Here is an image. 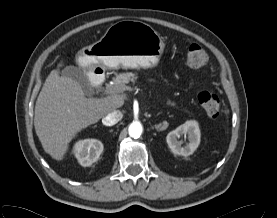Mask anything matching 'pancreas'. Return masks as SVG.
I'll use <instances>...</instances> for the list:
<instances>
[{
	"label": "pancreas",
	"instance_id": "pancreas-1",
	"mask_svg": "<svg viewBox=\"0 0 277 218\" xmlns=\"http://www.w3.org/2000/svg\"><path fill=\"white\" fill-rule=\"evenodd\" d=\"M137 80V75L132 72H126V73H120L116 75V78H114L113 85H110V87L114 90V92H123L125 90H130L131 88L127 85L129 82L135 83ZM167 104L171 106H175V102H172L171 100H167Z\"/></svg>",
	"mask_w": 277,
	"mask_h": 218
}]
</instances>
